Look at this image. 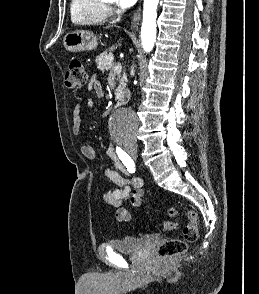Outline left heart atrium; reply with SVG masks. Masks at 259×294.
Returning <instances> with one entry per match:
<instances>
[{"label": "left heart atrium", "instance_id": "39dd6f15", "mask_svg": "<svg viewBox=\"0 0 259 294\" xmlns=\"http://www.w3.org/2000/svg\"><path fill=\"white\" fill-rule=\"evenodd\" d=\"M137 0H116V3L123 8H128L133 6Z\"/></svg>", "mask_w": 259, "mask_h": 294}]
</instances>
